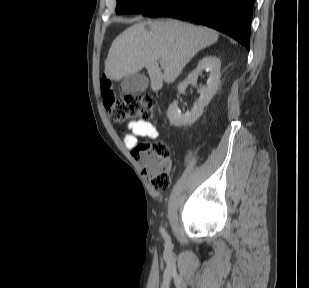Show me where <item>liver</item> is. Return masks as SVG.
Wrapping results in <instances>:
<instances>
[{
  "label": "liver",
  "instance_id": "1",
  "mask_svg": "<svg viewBox=\"0 0 309 288\" xmlns=\"http://www.w3.org/2000/svg\"><path fill=\"white\" fill-rule=\"evenodd\" d=\"M218 37L210 28L172 19L138 22L112 42L104 72L119 81L146 68L152 91H159L163 81L174 82L185 65ZM159 60L164 62L161 67Z\"/></svg>",
  "mask_w": 309,
  "mask_h": 288
}]
</instances>
